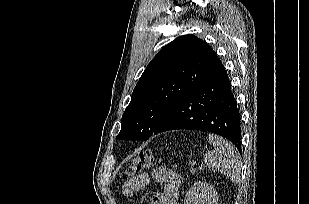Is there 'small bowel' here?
<instances>
[{"label":"small bowel","instance_id":"obj_1","mask_svg":"<svg viewBox=\"0 0 309 204\" xmlns=\"http://www.w3.org/2000/svg\"><path fill=\"white\" fill-rule=\"evenodd\" d=\"M151 179L164 184L163 192L154 195L151 204H177L182 175L177 169L164 166L156 167L150 172L141 173L128 180L123 186L124 196L128 198L135 196Z\"/></svg>","mask_w":309,"mask_h":204}]
</instances>
